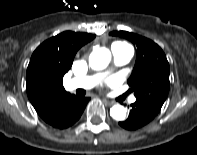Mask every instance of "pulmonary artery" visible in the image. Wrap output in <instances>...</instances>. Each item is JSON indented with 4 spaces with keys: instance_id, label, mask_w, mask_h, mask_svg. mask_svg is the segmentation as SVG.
<instances>
[{
    "instance_id": "pulmonary-artery-1",
    "label": "pulmonary artery",
    "mask_w": 197,
    "mask_h": 155,
    "mask_svg": "<svg viewBox=\"0 0 197 155\" xmlns=\"http://www.w3.org/2000/svg\"><path fill=\"white\" fill-rule=\"evenodd\" d=\"M111 52L113 55V61L117 66L127 64L133 57V49L130 46L120 43L113 44ZM99 78L100 75L76 77L68 82L67 87L70 90L78 88L90 89L96 84ZM135 101V97L130 98V103H134Z\"/></svg>"
}]
</instances>
